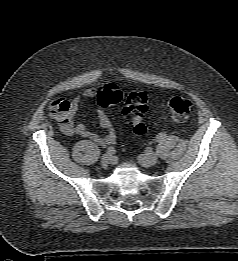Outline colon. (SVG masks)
<instances>
[{
  "label": "colon",
  "instance_id": "colon-1",
  "mask_svg": "<svg viewBox=\"0 0 238 261\" xmlns=\"http://www.w3.org/2000/svg\"><path fill=\"white\" fill-rule=\"evenodd\" d=\"M97 101L102 108L122 103V113L133 133L136 135L146 133L144 115L147 111L148 97L144 92L136 90L124 95L118 86L109 84L99 90ZM66 106L65 99H58L52 103V112L56 114L64 111ZM167 106L175 119L184 121L190 115L192 102L188 97L175 95L168 98Z\"/></svg>",
  "mask_w": 238,
  "mask_h": 261
}]
</instances>
